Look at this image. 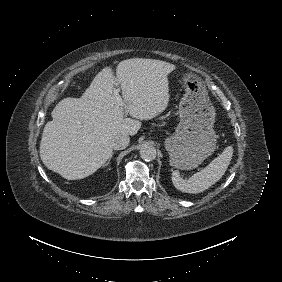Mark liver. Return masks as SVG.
I'll return each instance as SVG.
<instances>
[{
  "instance_id": "liver-1",
  "label": "liver",
  "mask_w": 282,
  "mask_h": 282,
  "mask_svg": "<svg viewBox=\"0 0 282 282\" xmlns=\"http://www.w3.org/2000/svg\"><path fill=\"white\" fill-rule=\"evenodd\" d=\"M174 65L159 59L131 58L116 68L124 105L118 106L110 70L104 68L79 98H65L43 129L40 156L45 166L67 179H81L100 168L112 153L117 134L135 135L138 119H150L168 103L166 74ZM123 108L135 118H123Z\"/></svg>"
}]
</instances>
